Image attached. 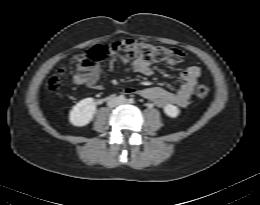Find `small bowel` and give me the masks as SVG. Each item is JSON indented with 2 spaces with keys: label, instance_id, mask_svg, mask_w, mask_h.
I'll use <instances>...</instances> for the list:
<instances>
[{
  "label": "small bowel",
  "instance_id": "1",
  "mask_svg": "<svg viewBox=\"0 0 260 205\" xmlns=\"http://www.w3.org/2000/svg\"><path fill=\"white\" fill-rule=\"evenodd\" d=\"M118 64V57L115 52L109 55L108 65L110 69H115ZM127 71L140 73L145 76L153 74V68L150 61L137 58L130 64L125 65ZM201 75V69L198 66L191 65L185 67L180 73L181 84L177 91L172 92L163 87L155 86L137 89L129 87L124 90L125 94H138L148 100L153 101L158 107L166 108L170 105L178 107H186L189 103L194 85ZM101 76V68L97 67L91 74L86 76H75L74 83L77 85H85L95 90H102L103 85L99 82Z\"/></svg>",
  "mask_w": 260,
  "mask_h": 205
}]
</instances>
